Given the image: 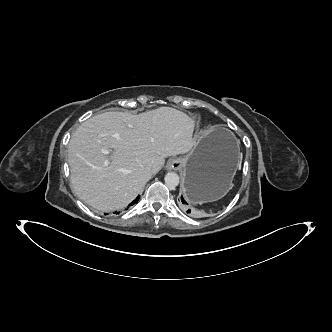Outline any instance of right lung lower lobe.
I'll return each instance as SVG.
<instances>
[{
  "label": "right lung lower lobe",
  "mask_w": 332,
  "mask_h": 332,
  "mask_svg": "<svg viewBox=\"0 0 332 332\" xmlns=\"http://www.w3.org/2000/svg\"><path fill=\"white\" fill-rule=\"evenodd\" d=\"M138 199H139V196L130 205L137 203Z\"/></svg>",
  "instance_id": "98d812e1"
}]
</instances>
